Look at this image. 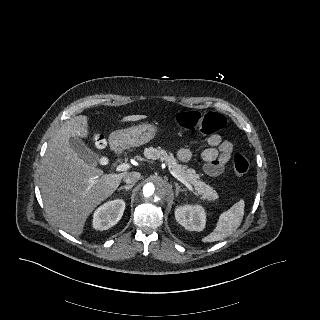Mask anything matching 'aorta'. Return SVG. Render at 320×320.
Returning a JSON list of instances; mask_svg holds the SVG:
<instances>
[{
    "instance_id": "obj_1",
    "label": "aorta",
    "mask_w": 320,
    "mask_h": 320,
    "mask_svg": "<svg viewBox=\"0 0 320 320\" xmlns=\"http://www.w3.org/2000/svg\"><path fill=\"white\" fill-rule=\"evenodd\" d=\"M170 191L171 190L169 184L165 182L161 177L155 176L149 179L147 183L142 187V200L147 205L156 207L165 200Z\"/></svg>"
}]
</instances>
